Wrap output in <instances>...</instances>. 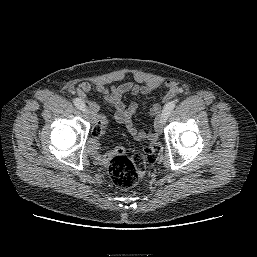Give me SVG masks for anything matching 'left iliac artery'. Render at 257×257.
<instances>
[{
  "label": "left iliac artery",
  "instance_id": "1",
  "mask_svg": "<svg viewBox=\"0 0 257 257\" xmlns=\"http://www.w3.org/2000/svg\"><path fill=\"white\" fill-rule=\"evenodd\" d=\"M175 101H170L169 103H167L165 106H164V109L162 111V115L168 117L171 112L173 111V109L175 108Z\"/></svg>",
  "mask_w": 257,
  "mask_h": 257
}]
</instances>
